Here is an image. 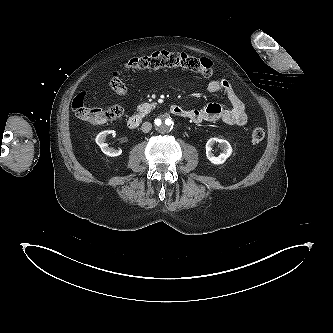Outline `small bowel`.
Wrapping results in <instances>:
<instances>
[{
	"instance_id": "small-bowel-1",
	"label": "small bowel",
	"mask_w": 333,
	"mask_h": 333,
	"mask_svg": "<svg viewBox=\"0 0 333 333\" xmlns=\"http://www.w3.org/2000/svg\"><path fill=\"white\" fill-rule=\"evenodd\" d=\"M207 89L211 93H222L227 98L230 108L225 109L218 103H210L201 109H185L184 117L194 123L221 121L227 125L243 126L247 123L245 106L235 93L231 83L223 78L211 80Z\"/></svg>"
}]
</instances>
